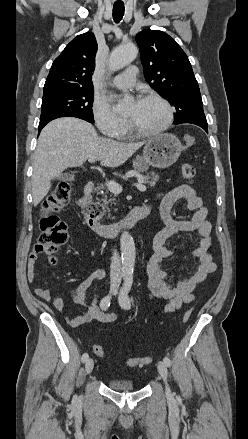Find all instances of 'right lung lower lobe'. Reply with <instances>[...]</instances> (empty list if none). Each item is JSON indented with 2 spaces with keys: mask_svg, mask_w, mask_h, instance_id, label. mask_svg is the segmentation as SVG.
<instances>
[{
  "mask_svg": "<svg viewBox=\"0 0 248 439\" xmlns=\"http://www.w3.org/2000/svg\"><path fill=\"white\" fill-rule=\"evenodd\" d=\"M72 117H77V116H72ZM77 118H80V119H83V120H86V121H88L87 119H85V118H83V117H77ZM53 120V119H52ZM51 120H48V121H45V122H40L39 123V127H38V134L40 133V131L42 130V128L48 123V122H50ZM88 122H90V121H88ZM91 123V122H90Z\"/></svg>",
  "mask_w": 248,
  "mask_h": 439,
  "instance_id": "obj_1",
  "label": "right lung lower lobe"
}]
</instances>
